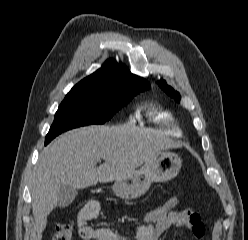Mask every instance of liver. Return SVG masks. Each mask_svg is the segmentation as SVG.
I'll return each mask as SVG.
<instances>
[{
    "label": "liver",
    "instance_id": "liver-1",
    "mask_svg": "<svg viewBox=\"0 0 248 240\" xmlns=\"http://www.w3.org/2000/svg\"><path fill=\"white\" fill-rule=\"evenodd\" d=\"M162 134L135 126H88L62 134L43 149L33 175L32 212L38 240L62 185L84 189L120 180L161 151L176 148ZM100 159L105 162L99 167Z\"/></svg>",
    "mask_w": 248,
    "mask_h": 240
}]
</instances>
